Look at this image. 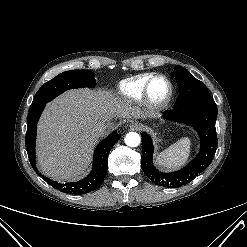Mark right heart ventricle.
<instances>
[{"label":"right heart ventricle","mask_w":247,"mask_h":247,"mask_svg":"<svg viewBox=\"0 0 247 247\" xmlns=\"http://www.w3.org/2000/svg\"><path fill=\"white\" fill-rule=\"evenodd\" d=\"M152 76L151 73H145L121 81L117 88L118 95L128 102L140 101L144 96L145 85Z\"/></svg>","instance_id":"obj_1"}]
</instances>
